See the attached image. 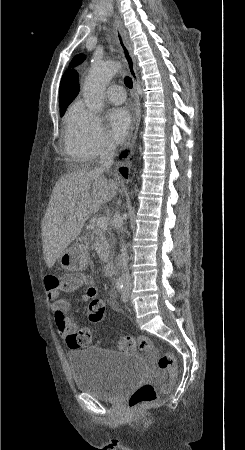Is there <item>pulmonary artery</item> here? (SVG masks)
<instances>
[{"mask_svg": "<svg viewBox=\"0 0 245 450\" xmlns=\"http://www.w3.org/2000/svg\"><path fill=\"white\" fill-rule=\"evenodd\" d=\"M107 99L116 104H121L126 100L124 87L120 84L112 83L106 91Z\"/></svg>", "mask_w": 245, "mask_h": 450, "instance_id": "1", "label": "pulmonary artery"}]
</instances>
